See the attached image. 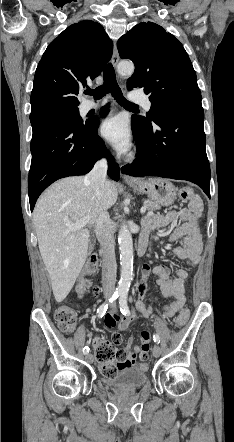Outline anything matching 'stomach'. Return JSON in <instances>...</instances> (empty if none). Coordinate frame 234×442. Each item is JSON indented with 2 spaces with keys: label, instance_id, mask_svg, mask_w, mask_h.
<instances>
[{
  "label": "stomach",
  "instance_id": "stomach-1",
  "mask_svg": "<svg viewBox=\"0 0 234 442\" xmlns=\"http://www.w3.org/2000/svg\"><path fill=\"white\" fill-rule=\"evenodd\" d=\"M131 186L147 194L152 201H156L163 206L173 204L177 196L176 187L165 179L150 178L146 181L132 183Z\"/></svg>",
  "mask_w": 234,
  "mask_h": 442
}]
</instances>
